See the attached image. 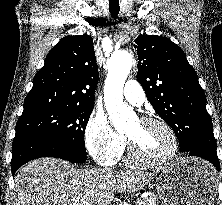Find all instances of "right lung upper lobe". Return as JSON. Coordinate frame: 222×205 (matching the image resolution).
Returning a JSON list of instances; mask_svg holds the SVG:
<instances>
[{
	"label": "right lung upper lobe",
	"mask_w": 222,
	"mask_h": 205,
	"mask_svg": "<svg viewBox=\"0 0 222 205\" xmlns=\"http://www.w3.org/2000/svg\"><path fill=\"white\" fill-rule=\"evenodd\" d=\"M97 82L92 38L66 36L51 49L35 75L23 113L56 106L92 107Z\"/></svg>",
	"instance_id": "1"
}]
</instances>
